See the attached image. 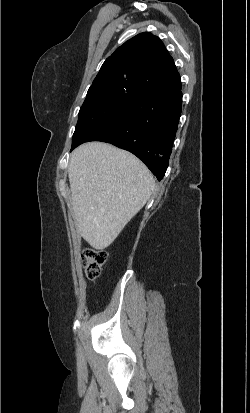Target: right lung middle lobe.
Returning a JSON list of instances; mask_svg holds the SVG:
<instances>
[{"instance_id":"right-lung-middle-lobe-1","label":"right lung middle lobe","mask_w":250,"mask_h":413,"mask_svg":"<svg viewBox=\"0 0 250 413\" xmlns=\"http://www.w3.org/2000/svg\"><path fill=\"white\" fill-rule=\"evenodd\" d=\"M140 95L134 89L118 86L89 88L79 111L71 151L110 123L129 101Z\"/></svg>"}]
</instances>
